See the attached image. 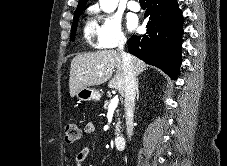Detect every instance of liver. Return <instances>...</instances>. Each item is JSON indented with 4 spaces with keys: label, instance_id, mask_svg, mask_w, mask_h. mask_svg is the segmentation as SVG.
<instances>
[{
    "label": "liver",
    "instance_id": "liver-1",
    "mask_svg": "<svg viewBox=\"0 0 227 166\" xmlns=\"http://www.w3.org/2000/svg\"><path fill=\"white\" fill-rule=\"evenodd\" d=\"M136 75H140L147 65L130 56ZM116 69V74L112 77ZM111 79V80H110ZM110 80V81H109ZM109 81L108 87L124 94V72L120 51L101 50L76 55L71 61L69 91L70 96L85 87L98 86Z\"/></svg>",
    "mask_w": 227,
    "mask_h": 166
}]
</instances>
